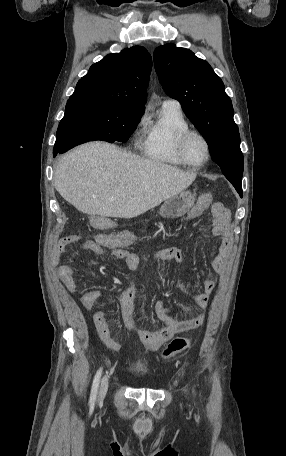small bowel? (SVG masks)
Masks as SVG:
<instances>
[{
    "label": "small bowel",
    "mask_w": 286,
    "mask_h": 456,
    "mask_svg": "<svg viewBox=\"0 0 286 456\" xmlns=\"http://www.w3.org/2000/svg\"><path fill=\"white\" fill-rule=\"evenodd\" d=\"M206 208L207 206H201L198 203L189 211L186 220L188 221L196 218ZM211 210L214 218L212 233L218 238L214 246L211 267L215 272L224 274L228 268L231 251L229 234L230 216L223 205L218 202L212 205ZM105 236H111L112 242L107 244L103 240ZM76 240H78V238L73 240L72 235L59 239L54 246L51 258V263L57 267V275L60 282L70 293L76 291L74 270L70 263H61V259L65 254L68 245ZM133 241V236L128 232L98 234L94 239L83 241L79 245V250L96 256L109 255L115 260L123 261L130 271L137 272L140 267L139 257L124 249V247L130 245ZM184 257V252L177 247L161 249L153 255V258L156 260L171 263H181ZM135 280V274L126 278L125 289L120 299L122 317L127 329L133 332L150 351L156 350L174 335L194 330L203 324L205 319L204 314L184 320L174 319L170 309L161 299H158L154 303V312L157 318L163 323V328L158 331H147L139 328L134 320V299L136 295ZM201 284L203 292L197 294L190 293L181 281L178 283V287L184 296L194 305L200 308H206L209 304L211 293L216 287V282L211 279H204ZM100 296L101 291L98 289L86 291L80 299L82 308L85 311L90 312ZM92 319L101 342L110 350L118 351L120 345L110 336V328L103 309L98 308L95 310Z\"/></svg>",
    "instance_id": "c3829d8e"
}]
</instances>
